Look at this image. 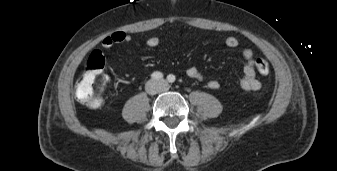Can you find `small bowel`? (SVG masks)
Listing matches in <instances>:
<instances>
[{"label": "small bowel", "instance_id": "c3829d8e", "mask_svg": "<svg viewBox=\"0 0 337 171\" xmlns=\"http://www.w3.org/2000/svg\"><path fill=\"white\" fill-rule=\"evenodd\" d=\"M133 37L126 32L116 31L106 37L101 41V46L104 49H110L116 44L130 43ZM146 45L150 48H155L160 45V39L158 37L152 36L146 39ZM239 42L235 37H228L225 39V45L229 48H236ZM242 56L245 60L243 67V76L239 82V88L243 91H257L261 88V82L257 79L254 53L251 49H244ZM186 75L198 81L204 82L210 89L216 90L220 87L218 80L213 78H207L198 68L191 66L186 69ZM105 80L110 82V77L106 76Z\"/></svg>", "mask_w": 337, "mask_h": 171}]
</instances>
